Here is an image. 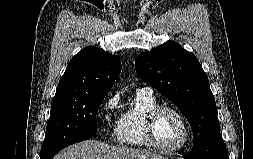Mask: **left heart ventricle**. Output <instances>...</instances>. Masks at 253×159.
Masks as SVG:
<instances>
[{
    "instance_id": "1",
    "label": "left heart ventricle",
    "mask_w": 253,
    "mask_h": 159,
    "mask_svg": "<svg viewBox=\"0 0 253 159\" xmlns=\"http://www.w3.org/2000/svg\"><path fill=\"white\" fill-rule=\"evenodd\" d=\"M154 130L158 144L165 148L176 147L184 134L179 117L171 111H164L157 117Z\"/></svg>"
}]
</instances>
